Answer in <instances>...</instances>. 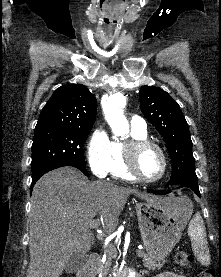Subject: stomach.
<instances>
[{
  "label": "stomach",
  "mask_w": 221,
  "mask_h": 277,
  "mask_svg": "<svg viewBox=\"0 0 221 277\" xmlns=\"http://www.w3.org/2000/svg\"><path fill=\"white\" fill-rule=\"evenodd\" d=\"M166 205L135 201L138 224L149 258L164 260L178 243L191 214L188 200L166 198Z\"/></svg>",
  "instance_id": "stomach-1"
}]
</instances>
